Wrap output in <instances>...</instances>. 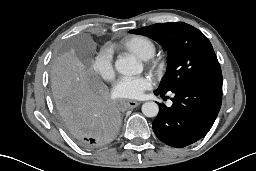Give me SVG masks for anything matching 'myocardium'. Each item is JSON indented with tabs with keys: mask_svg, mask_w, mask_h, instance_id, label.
Here are the masks:
<instances>
[{
	"mask_svg": "<svg viewBox=\"0 0 256 171\" xmlns=\"http://www.w3.org/2000/svg\"><path fill=\"white\" fill-rule=\"evenodd\" d=\"M144 63L147 69L153 74H159L163 69V63L154 56L144 59Z\"/></svg>",
	"mask_w": 256,
	"mask_h": 171,
	"instance_id": "obj_1",
	"label": "myocardium"
}]
</instances>
